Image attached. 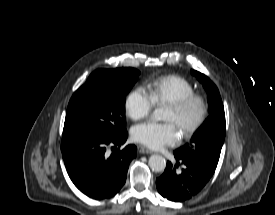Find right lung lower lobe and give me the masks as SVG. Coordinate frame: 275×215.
<instances>
[{"instance_id": "98d812e1", "label": "right lung lower lobe", "mask_w": 275, "mask_h": 215, "mask_svg": "<svg viewBox=\"0 0 275 215\" xmlns=\"http://www.w3.org/2000/svg\"><path fill=\"white\" fill-rule=\"evenodd\" d=\"M127 135L125 131L112 138H62L61 151L68 175L81 192L93 199H106L122 188L137 148L128 145L108 155L107 147H120Z\"/></svg>"}]
</instances>
